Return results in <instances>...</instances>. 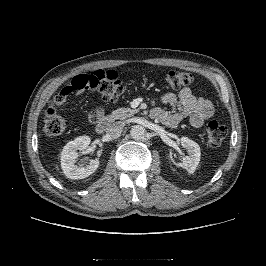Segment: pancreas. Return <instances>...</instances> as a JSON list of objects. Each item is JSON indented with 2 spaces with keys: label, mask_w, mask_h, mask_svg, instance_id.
<instances>
[{
  "label": "pancreas",
  "mask_w": 266,
  "mask_h": 266,
  "mask_svg": "<svg viewBox=\"0 0 266 266\" xmlns=\"http://www.w3.org/2000/svg\"><path fill=\"white\" fill-rule=\"evenodd\" d=\"M138 110H134L131 108H118L114 110L110 115L106 117L108 121H114L116 119L124 120L127 117L133 116L135 113H137Z\"/></svg>",
  "instance_id": "cf45deb5"
}]
</instances>
